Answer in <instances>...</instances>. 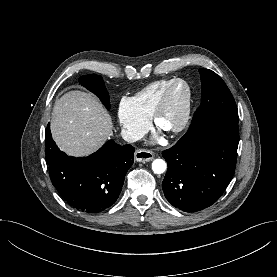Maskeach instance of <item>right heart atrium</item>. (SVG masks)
<instances>
[{
	"label": "right heart atrium",
	"instance_id": "obj_1",
	"mask_svg": "<svg viewBox=\"0 0 277 277\" xmlns=\"http://www.w3.org/2000/svg\"><path fill=\"white\" fill-rule=\"evenodd\" d=\"M118 120L122 133L128 140L139 137L148 126V119L136 110L132 99L127 97L119 103Z\"/></svg>",
	"mask_w": 277,
	"mask_h": 277
}]
</instances>
